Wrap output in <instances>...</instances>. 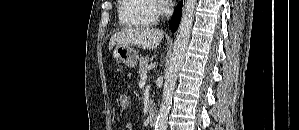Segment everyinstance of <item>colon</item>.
<instances>
[{"label":"colon","mask_w":299,"mask_h":130,"mask_svg":"<svg viewBox=\"0 0 299 130\" xmlns=\"http://www.w3.org/2000/svg\"><path fill=\"white\" fill-rule=\"evenodd\" d=\"M118 104L121 108H127L130 104V97L128 94L126 93H122L119 97H118Z\"/></svg>","instance_id":"5ec220e1"}]
</instances>
